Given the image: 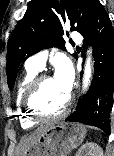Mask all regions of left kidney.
<instances>
[{"instance_id":"left-kidney-1","label":"left kidney","mask_w":114,"mask_h":156,"mask_svg":"<svg viewBox=\"0 0 114 156\" xmlns=\"http://www.w3.org/2000/svg\"><path fill=\"white\" fill-rule=\"evenodd\" d=\"M75 156H103V150L97 143L87 142L78 149Z\"/></svg>"}]
</instances>
